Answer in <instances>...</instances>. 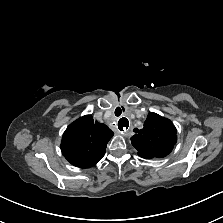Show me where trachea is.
<instances>
[{"label": "trachea", "instance_id": "obj_1", "mask_svg": "<svg viewBox=\"0 0 223 223\" xmlns=\"http://www.w3.org/2000/svg\"><path fill=\"white\" fill-rule=\"evenodd\" d=\"M123 111H124V110H123ZM121 113H122L121 108L117 107V108L115 109V115H116V116H120Z\"/></svg>", "mask_w": 223, "mask_h": 223}]
</instances>
